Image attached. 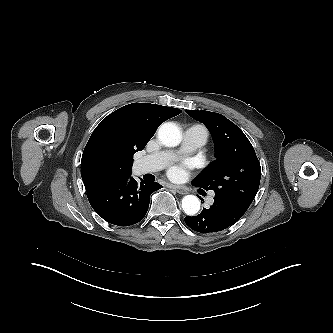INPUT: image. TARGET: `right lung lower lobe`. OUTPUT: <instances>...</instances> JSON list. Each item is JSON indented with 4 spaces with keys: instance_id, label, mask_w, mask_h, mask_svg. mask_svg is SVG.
<instances>
[{
    "instance_id": "right-lung-lower-lobe-1",
    "label": "right lung lower lobe",
    "mask_w": 333,
    "mask_h": 333,
    "mask_svg": "<svg viewBox=\"0 0 333 333\" xmlns=\"http://www.w3.org/2000/svg\"><path fill=\"white\" fill-rule=\"evenodd\" d=\"M162 188L157 182L141 179L138 183L127 176L113 179L87 191L88 200L105 221L129 226L141 221L149 207L150 195Z\"/></svg>"
}]
</instances>
